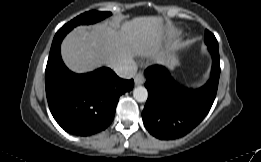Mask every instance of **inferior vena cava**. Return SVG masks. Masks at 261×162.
<instances>
[{"mask_svg": "<svg viewBox=\"0 0 261 162\" xmlns=\"http://www.w3.org/2000/svg\"><path fill=\"white\" fill-rule=\"evenodd\" d=\"M114 72L121 78L130 79L137 72V65L134 62L128 64H118L113 67Z\"/></svg>", "mask_w": 261, "mask_h": 162, "instance_id": "1", "label": "inferior vena cava"}]
</instances>
